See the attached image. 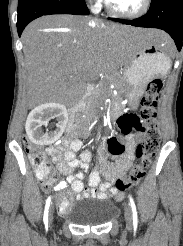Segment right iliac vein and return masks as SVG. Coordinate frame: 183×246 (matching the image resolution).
I'll return each mask as SVG.
<instances>
[{"instance_id":"obj_1","label":"right iliac vein","mask_w":183,"mask_h":246,"mask_svg":"<svg viewBox=\"0 0 183 246\" xmlns=\"http://www.w3.org/2000/svg\"><path fill=\"white\" fill-rule=\"evenodd\" d=\"M49 221L52 224V221H53V208H50Z\"/></svg>"}]
</instances>
